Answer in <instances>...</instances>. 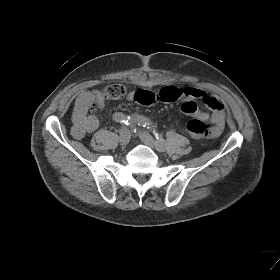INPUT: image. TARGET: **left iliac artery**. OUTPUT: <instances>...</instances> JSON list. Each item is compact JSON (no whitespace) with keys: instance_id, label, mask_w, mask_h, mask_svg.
Here are the masks:
<instances>
[{"instance_id":"1","label":"left iliac artery","mask_w":280,"mask_h":280,"mask_svg":"<svg viewBox=\"0 0 280 280\" xmlns=\"http://www.w3.org/2000/svg\"><path fill=\"white\" fill-rule=\"evenodd\" d=\"M132 120L137 122L138 125L146 127L148 129L149 128L152 129V127H154L152 125V122L144 116L135 115V116L132 117ZM155 135H156V146L160 149H165V147H166L165 140L162 137L158 136V134H155Z\"/></svg>"}]
</instances>
